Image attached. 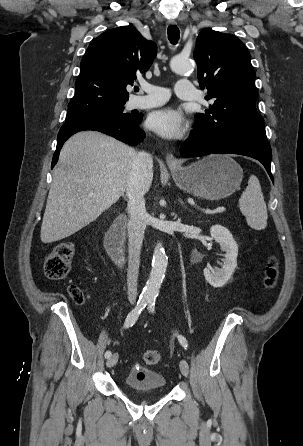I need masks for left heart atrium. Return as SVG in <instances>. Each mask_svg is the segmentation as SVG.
Masks as SVG:
<instances>
[{"label": "left heart atrium", "mask_w": 303, "mask_h": 446, "mask_svg": "<svg viewBox=\"0 0 303 446\" xmlns=\"http://www.w3.org/2000/svg\"><path fill=\"white\" fill-rule=\"evenodd\" d=\"M148 126L164 138L177 139L186 130V120L179 110L167 107L152 112L148 118Z\"/></svg>", "instance_id": "left-heart-atrium-1"}]
</instances>
